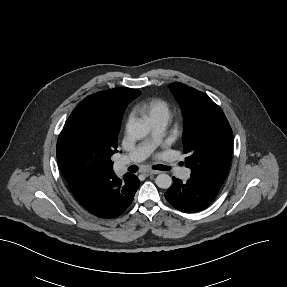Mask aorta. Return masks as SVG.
Here are the masks:
<instances>
[{
  "label": "aorta",
  "instance_id": "aorta-1",
  "mask_svg": "<svg viewBox=\"0 0 287 287\" xmlns=\"http://www.w3.org/2000/svg\"><path fill=\"white\" fill-rule=\"evenodd\" d=\"M127 133L133 139H142L149 133V127L144 122H134L127 126ZM156 185L168 189L172 185V178L168 174H159L155 179Z\"/></svg>",
  "mask_w": 287,
  "mask_h": 287
}]
</instances>
